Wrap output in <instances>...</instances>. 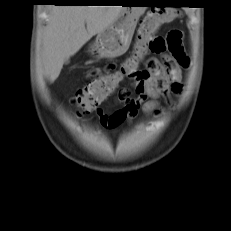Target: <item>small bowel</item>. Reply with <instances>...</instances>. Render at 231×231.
<instances>
[{
  "mask_svg": "<svg viewBox=\"0 0 231 231\" xmlns=\"http://www.w3.org/2000/svg\"><path fill=\"white\" fill-rule=\"evenodd\" d=\"M167 53L161 59L151 58L144 70L143 80L134 81L132 90L121 89L117 94V101L122 105L112 114L102 110L97 111L98 122L106 128H115L126 121L135 118L139 111L145 114L159 113L158 99L182 91V69L189 66L182 45V32L171 30L164 38ZM115 69L111 65L108 71Z\"/></svg>",
  "mask_w": 231,
  "mask_h": 231,
  "instance_id": "1",
  "label": "small bowel"
}]
</instances>
